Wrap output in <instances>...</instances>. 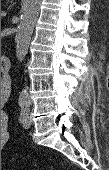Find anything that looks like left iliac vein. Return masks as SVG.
<instances>
[{
  "mask_svg": "<svg viewBox=\"0 0 109 170\" xmlns=\"http://www.w3.org/2000/svg\"><path fill=\"white\" fill-rule=\"evenodd\" d=\"M22 126H23L24 128H30V126H31V120H30L28 114L24 116V119H23V121H22Z\"/></svg>",
  "mask_w": 109,
  "mask_h": 170,
  "instance_id": "4c4485c4",
  "label": "left iliac vein"
}]
</instances>
